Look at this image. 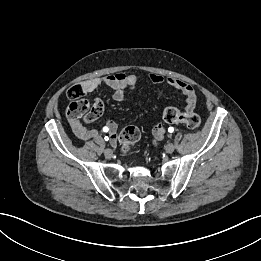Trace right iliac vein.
Masks as SVG:
<instances>
[{
	"mask_svg": "<svg viewBox=\"0 0 261 261\" xmlns=\"http://www.w3.org/2000/svg\"><path fill=\"white\" fill-rule=\"evenodd\" d=\"M104 155L107 158H111L112 157V150L111 149H105Z\"/></svg>",
	"mask_w": 261,
	"mask_h": 261,
	"instance_id": "right-iliac-vein-1",
	"label": "right iliac vein"
}]
</instances>
